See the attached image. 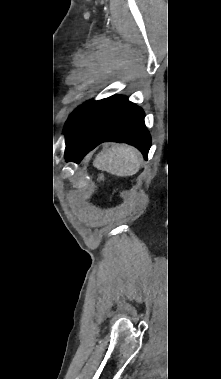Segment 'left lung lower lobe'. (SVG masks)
<instances>
[{
	"label": "left lung lower lobe",
	"instance_id": "left-lung-lower-lobe-1",
	"mask_svg": "<svg viewBox=\"0 0 221 379\" xmlns=\"http://www.w3.org/2000/svg\"><path fill=\"white\" fill-rule=\"evenodd\" d=\"M106 141L136 146L147 158L151 138L141 108L123 96L97 101L66 141L65 158L79 163L82 157Z\"/></svg>",
	"mask_w": 221,
	"mask_h": 379
}]
</instances>
